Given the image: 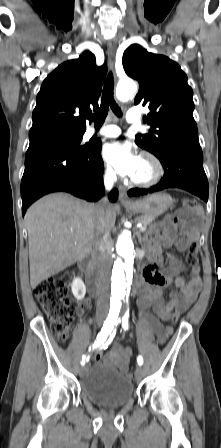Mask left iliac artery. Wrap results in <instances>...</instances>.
<instances>
[{
  "label": "left iliac artery",
  "instance_id": "44dca946",
  "mask_svg": "<svg viewBox=\"0 0 221 448\" xmlns=\"http://www.w3.org/2000/svg\"><path fill=\"white\" fill-rule=\"evenodd\" d=\"M117 317H118V316H117ZM117 321L119 322V319H118ZM122 327H123L124 330H127L128 327H129V324H128V314H125V315L122 317ZM137 362H138V364H139L140 366L143 364V358H142V356H138V358H137Z\"/></svg>",
  "mask_w": 221,
  "mask_h": 448
}]
</instances>
